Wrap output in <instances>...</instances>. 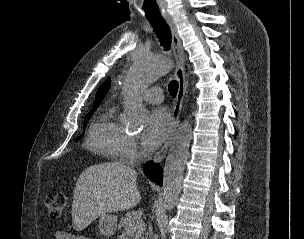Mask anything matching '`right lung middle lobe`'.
Returning <instances> with one entry per match:
<instances>
[{
  "instance_id": "dd1d6c3e",
  "label": "right lung middle lobe",
  "mask_w": 304,
  "mask_h": 239,
  "mask_svg": "<svg viewBox=\"0 0 304 239\" xmlns=\"http://www.w3.org/2000/svg\"><path fill=\"white\" fill-rule=\"evenodd\" d=\"M97 107H93L92 108V111L90 113H88L86 116H85V119H84V127L86 125V123L88 122V120L90 119V117L92 116L94 110H96ZM82 137V135L78 138V140Z\"/></svg>"
}]
</instances>
